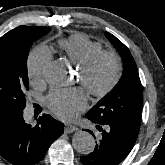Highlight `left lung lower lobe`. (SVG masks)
<instances>
[{
	"instance_id": "0a47b994",
	"label": "left lung lower lobe",
	"mask_w": 165,
	"mask_h": 165,
	"mask_svg": "<svg viewBox=\"0 0 165 165\" xmlns=\"http://www.w3.org/2000/svg\"><path fill=\"white\" fill-rule=\"evenodd\" d=\"M87 118L96 124L101 133L95 150L82 156L80 161L83 165H118L132 150L139 131L116 123L97 122Z\"/></svg>"
}]
</instances>
